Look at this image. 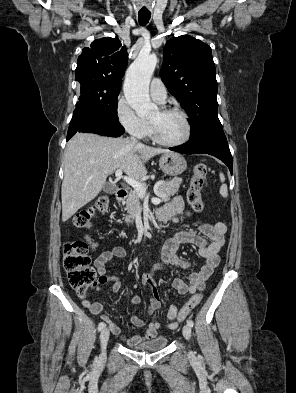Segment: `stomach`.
<instances>
[{
	"label": "stomach",
	"instance_id": "0dacf381",
	"mask_svg": "<svg viewBox=\"0 0 296 393\" xmlns=\"http://www.w3.org/2000/svg\"><path fill=\"white\" fill-rule=\"evenodd\" d=\"M160 169L169 176L182 174L187 168V162L179 153H163L159 159Z\"/></svg>",
	"mask_w": 296,
	"mask_h": 393
}]
</instances>
